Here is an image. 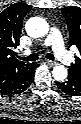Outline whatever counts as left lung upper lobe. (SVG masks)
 <instances>
[{"instance_id":"left-lung-upper-lobe-1","label":"left lung upper lobe","mask_w":81,"mask_h":124,"mask_svg":"<svg viewBox=\"0 0 81 124\" xmlns=\"http://www.w3.org/2000/svg\"><path fill=\"white\" fill-rule=\"evenodd\" d=\"M61 12L68 25L70 46L75 45L80 52L79 56H75V63L69 66L68 72L81 81V8L69 6L62 8Z\"/></svg>"}]
</instances>
